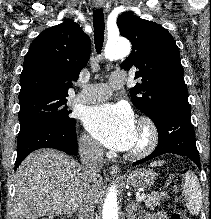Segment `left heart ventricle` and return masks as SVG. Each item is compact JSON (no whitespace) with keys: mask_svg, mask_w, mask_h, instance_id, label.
Returning <instances> with one entry per match:
<instances>
[{"mask_svg":"<svg viewBox=\"0 0 211 219\" xmlns=\"http://www.w3.org/2000/svg\"><path fill=\"white\" fill-rule=\"evenodd\" d=\"M142 140H143L142 133H141V131L138 129L136 141H135V143H134V145H133V147H132L131 149H134V148L138 147V146L142 143Z\"/></svg>","mask_w":211,"mask_h":219,"instance_id":"obj_1","label":"left heart ventricle"}]
</instances>
